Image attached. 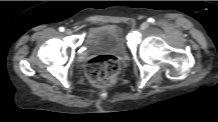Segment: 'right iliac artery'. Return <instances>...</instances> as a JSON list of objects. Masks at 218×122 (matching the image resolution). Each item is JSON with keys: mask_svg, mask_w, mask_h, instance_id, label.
<instances>
[{"mask_svg": "<svg viewBox=\"0 0 218 122\" xmlns=\"http://www.w3.org/2000/svg\"><path fill=\"white\" fill-rule=\"evenodd\" d=\"M59 31H60V32H63V31H64V27H60V28H59Z\"/></svg>", "mask_w": 218, "mask_h": 122, "instance_id": "obj_1", "label": "right iliac artery"}]
</instances>
